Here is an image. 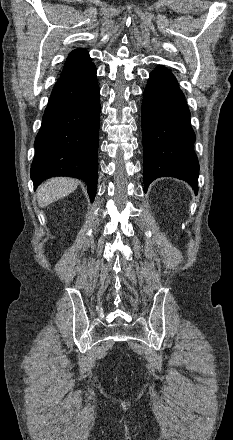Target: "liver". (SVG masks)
Instances as JSON below:
<instances>
[{
    "mask_svg": "<svg viewBox=\"0 0 233 440\" xmlns=\"http://www.w3.org/2000/svg\"><path fill=\"white\" fill-rule=\"evenodd\" d=\"M79 182L72 178L55 177L45 181L37 189L38 205L41 208L69 195L78 186Z\"/></svg>",
    "mask_w": 233,
    "mask_h": 440,
    "instance_id": "6515ba94",
    "label": "liver"
}]
</instances>
